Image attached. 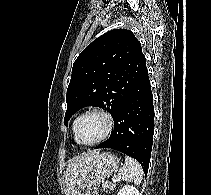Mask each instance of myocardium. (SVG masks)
<instances>
[{"instance_id":"obj_1","label":"myocardium","mask_w":211,"mask_h":195,"mask_svg":"<svg viewBox=\"0 0 211 195\" xmlns=\"http://www.w3.org/2000/svg\"><path fill=\"white\" fill-rule=\"evenodd\" d=\"M93 114L99 115L104 118V120L106 121V129H105L104 133L97 140L90 142V143H85L79 139V127H80L82 120L85 117H87L89 115H93ZM114 125H115V121H114V118L111 113H109L108 111H106L104 109H100V108L90 109V110L84 112L82 115H80L76 121L75 129H74L75 140L78 144L83 145V146L97 145V144L103 142L104 140H106L111 135V133L114 129Z\"/></svg>"}]
</instances>
